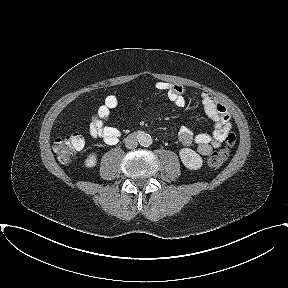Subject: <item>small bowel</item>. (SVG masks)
<instances>
[{
    "label": "small bowel",
    "mask_w": 288,
    "mask_h": 288,
    "mask_svg": "<svg viewBox=\"0 0 288 288\" xmlns=\"http://www.w3.org/2000/svg\"><path fill=\"white\" fill-rule=\"evenodd\" d=\"M158 91L166 94L169 101L177 107H183L186 104L185 88L179 84L158 81L155 84ZM201 103L205 113L213 121V130L211 134H194L186 126L181 127L178 132V140L186 146L194 144L197 151L204 156L220 147L231 129L229 112L224 105L217 102L208 92L200 93ZM118 98L115 95H109L104 102L97 108L94 117L89 124V133L94 139H101L106 145H115L121 136L117 128L108 126L111 111L118 106Z\"/></svg>",
    "instance_id": "obj_1"
}]
</instances>
